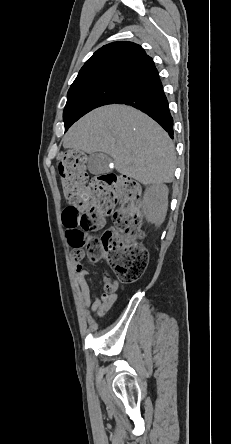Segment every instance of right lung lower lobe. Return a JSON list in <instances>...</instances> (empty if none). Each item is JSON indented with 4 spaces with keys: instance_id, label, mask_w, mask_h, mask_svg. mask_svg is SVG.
<instances>
[{
    "instance_id": "obj_1",
    "label": "right lung lower lobe",
    "mask_w": 231,
    "mask_h": 444,
    "mask_svg": "<svg viewBox=\"0 0 231 444\" xmlns=\"http://www.w3.org/2000/svg\"><path fill=\"white\" fill-rule=\"evenodd\" d=\"M114 103L130 105L143 111L173 138V118L159 77L132 88Z\"/></svg>"
}]
</instances>
